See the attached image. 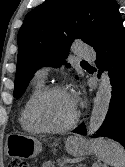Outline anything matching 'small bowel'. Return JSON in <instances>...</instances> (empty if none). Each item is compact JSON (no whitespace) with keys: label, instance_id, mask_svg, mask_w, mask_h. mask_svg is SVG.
<instances>
[{"label":"small bowel","instance_id":"1","mask_svg":"<svg viewBox=\"0 0 125 167\" xmlns=\"http://www.w3.org/2000/svg\"><path fill=\"white\" fill-rule=\"evenodd\" d=\"M41 167H54L52 163H45Z\"/></svg>","mask_w":125,"mask_h":167}]
</instances>
